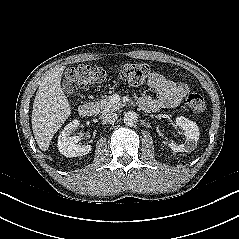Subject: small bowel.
I'll return each mask as SVG.
<instances>
[{"label":"small bowel","mask_w":239,"mask_h":239,"mask_svg":"<svg viewBox=\"0 0 239 239\" xmlns=\"http://www.w3.org/2000/svg\"><path fill=\"white\" fill-rule=\"evenodd\" d=\"M148 85L156 92L157 97H141L140 105L146 111H157L164 107L176 106L188 93L187 85L169 80L157 72L151 73Z\"/></svg>","instance_id":"obj_1"}]
</instances>
